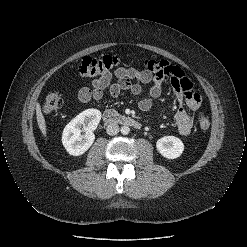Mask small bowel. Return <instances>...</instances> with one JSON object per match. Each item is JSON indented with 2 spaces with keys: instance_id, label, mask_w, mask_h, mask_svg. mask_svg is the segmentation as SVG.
<instances>
[{
  "instance_id": "1",
  "label": "small bowel",
  "mask_w": 247,
  "mask_h": 247,
  "mask_svg": "<svg viewBox=\"0 0 247 247\" xmlns=\"http://www.w3.org/2000/svg\"><path fill=\"white\" fill-rule=\"evenodd\" d=\"M140 61L145 67L142 70L119 67L113 73L94 79L92 89L83 88L79 91V100L83 103L91 99L100 100L106 89L112 97H117L124 91L138 95L142 92L144 85L150 84L149 95L141 99L138 104L142 111H148L152 108L153 101L161 95L162 82L168 77L179 104L174 116L178 131L182 135H189L193 120L184 106L196 110L201 106L202 97L193 90L190 80L179 67L165 60L140 59ZM113 78L116 79L115 82L112 81Z\"/></svg>"
}]
</instances>
